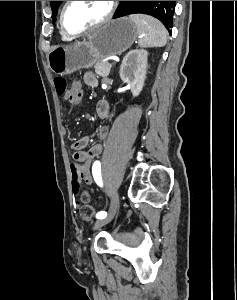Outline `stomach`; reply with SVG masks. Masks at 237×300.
<instances>
[{
	"mask_svg": "<svg viewBox=\"0 0 237 300\" xmlns=\"http://www.w3.org/2000/svg\"><path fill=\"white\" fill-rule=\"evenodd\" d=\"M137 37V29L128 17L113 19L72 47H52L47 53L48 67L61 77L79 69H89L100 59L120 55L133 45Z\"/></svg>",
	"mask_w": 237,
	"mask_h": 300,
	"instance_id": "1",
	"label": "stomach"
}]
</instances>
